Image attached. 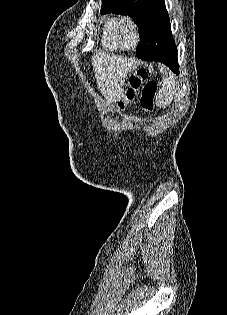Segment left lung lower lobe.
<instances>
[{
  "label": "left lung lower lobe",
  "mask_w": 227,
  "mask_h": 315,
  "mask_svg": "<svg viewBox=\"0 0 227 315\" xmlns=\"http://www.w3.org/2000/svg\"><path fill=\"white\" fill-rule=\"evenodd\" d=\"M138 58L145 61H159L169 66L170 69L178 74L179 66L177 62V52H166L158 47L157 40L147 38L141 41L136 51Z\"/></svg>",
  "instance_id": "0a47b994"
}]
</instances>
